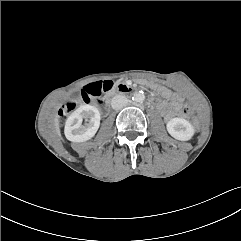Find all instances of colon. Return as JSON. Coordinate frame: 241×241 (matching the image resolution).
Masks as SVG:
<instances>
[{
    "instance_id": "5ec220e1",
    "label": "colon",
    "mask_w": 241,
    "mask_h": 241,
    "mask_svg": "<svg viewBox=\"0 0 241 241\" xmlns=\"http://www.w3.org/2000/svg\"><path fill=\"white\" fill-rule=\"evenodd\" d=\"M112 86V82L110 81H97L86 85L81 91L79 100H71L66 105H64L60 111V117H65L70 114L78 105V103L88 104L91 101H95L97 104L101 103L100 97L101 95L108 91ZM183 113L186 116H193L195 113V109L192 105H185L183 108Z\"/></svg>"
}]
</instances>
